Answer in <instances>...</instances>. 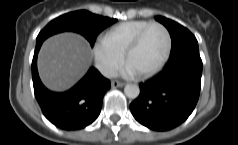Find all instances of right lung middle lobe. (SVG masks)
<instances>
[{
    "label": "right lung middle lobe",
    "mask_w": 238,
    "mask_h": 145,
    "mask_svg": "<svg viewBox=\"0 0 238 145\" xmlns=\"http://www.w3.org/2000/svg\"><path fill=\"white\" fill-rule=\"evenodd\" d=\"M117 19L92 14L86 10H79L64 14L52 20L37 36L36 43L43 42L53 34L73 31L83 35L91 47L94 46L98 34Z\"/></svg>",
    "instance_id": "right-lung-middle-lobe-1"
}]
</instances>
